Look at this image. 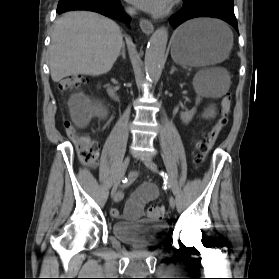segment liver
Masks as SVG:
<instances>
[{
    "instance_id": "liver-1",
    "label": "liver",
    "mask_w": 279,
    "mask_h": 279,
    "mask_svg": "<svg viewBox=\"0 0 279 279\" xmlns=\"http://www.w3.org/2000/svg\"><path fill=\"white\" fill-rule=\"evenodd\" d=\"M123 45L120 27L93 12L73 11L56 20L49 47L51 78L98 76L111 70Z\"/></svg>"
}]
</instances>
